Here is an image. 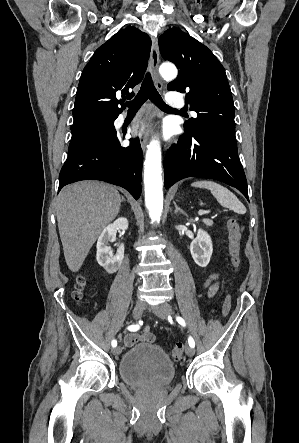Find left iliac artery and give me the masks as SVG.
<instances>
[{
    "instance_id": "44dca946",
    "label": "left iliac artery",
    "mask_w": 299,
    "mask_h": 443,
    "mask_svg": "<svg viewBox=\"0 0 299 443\" xmlns=\"http://www.w3.org/2000/svg\"><path fill=\"white\" fill-rule=\"evenodd\" d=\"M176 320H177V322H178L180 325H182V326H185V325H186V323H185V321H184V319H183L182 317L177 316V317H176ZM188 343H189V346H191L192 348L195 347L194 339H193L191 336H189V338H188Z\"/></svg>"
}]
</instances>
